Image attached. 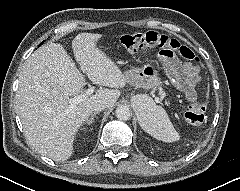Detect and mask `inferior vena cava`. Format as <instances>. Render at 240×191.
Listing matches in <instances>:
<instances>
[{"instance_id":"obj_1","label":"inferior vena cava","mask_w":240,"mask_h":191,"mask_svg":"<svg viewBox=\"0 0 240 191\" xmlns=\"http://www.w3.org/2000/svg\"><path fill=\"white\" fill-rule=\"evenodd\" d=\"M107 107H109V105L106 101H97L92 105V110L96 112H100L106 109Z\"/></svg>"}]
</instances>
